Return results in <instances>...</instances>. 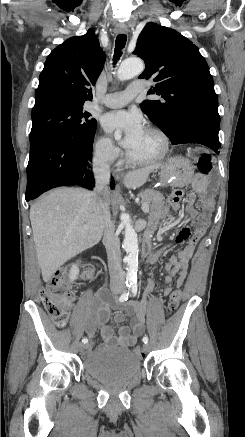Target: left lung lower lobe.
I'll return each instance as SVG.
<instances>
[{
    "mask_svg": "<svg viewBox=\"0 0 245 437\" xmlns=\"http://www.w3.org/2000/svg\"><path fill=\"white\" fill-rule=\"evenodd\" d=\"M219 124L205 119L192 118L182 127L172 144L198 143L203 144L216 154H219L221 147L219 138Z\"/></svg>",
    "mask_w": 245,
    "mask_h": 437,
    "instance_id": "obj_1",
    "label": "left lung lower lobe"
}]
</instances>
